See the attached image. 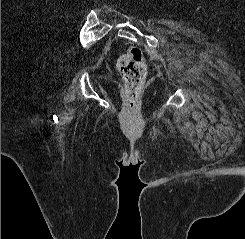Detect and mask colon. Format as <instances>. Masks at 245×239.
<instances>
[{
    "mask_svg": "<svg viewBox=\"0 0 245 239\" xmlns=\"http://www.w3.org/2000/svg\"><path fill=\"white\" fill-rule=\"evenodd\" d=\"M117 69L125 83L126 97L131 105L144 86L147 73L146 61L141 50L130 46L117 60Z\"/></svg>",
    "mask_w": 245,
    "mask_h": 239,
    "instance_id": "obj_1",
    "label": "colon"
}]
</instances>
